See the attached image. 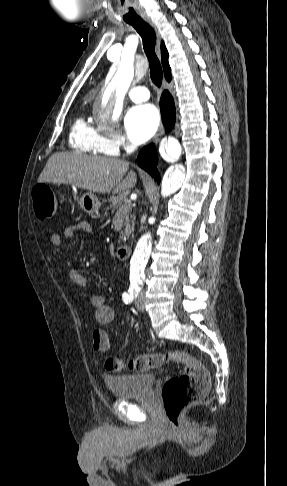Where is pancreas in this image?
I'll return each mask as SVG.
<instances>
[{"label": "pancreas", "instance_id": "cf45deb5", "mask_svg": "<svg viewBox=\"0 0 287 486\" xmlns=\"http://www.w3.org/2000/svg\"><path fill=\"white\" fill-rule=\"evenodd\" d=\"M109 202L112 213L117 210L123 214L125 229L124 232H121L120 238L125 240L131 234L134 227L135 217L134 214H131L132 204L126 195L111 196Z\"/></svg>", "mask_w": 287, "mask_h": 486}]
</instances>
